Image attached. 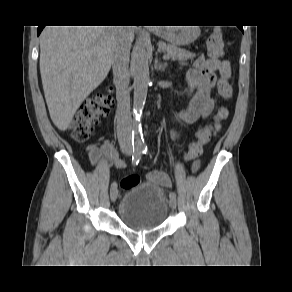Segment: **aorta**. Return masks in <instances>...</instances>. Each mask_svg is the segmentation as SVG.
Instances as JSON below:
<instances>
[{"instance_id":"1","label":"aorta","mask_w":292,"mask_h":292,"mask_svg":"<svg viewBox=\"0 0 292 292\" xmlns=\"http://www.w3.org/2000/svg\"><path fill=\"white\" fill-rule=\"evenodd\" d=\"M149 54L143 44H138L133 53V115L132 128L135 134V143H140L137 136L140 132L141 124L139 118L142 114L148 91L149 77Z\"/></svg>"}]
</instances>
